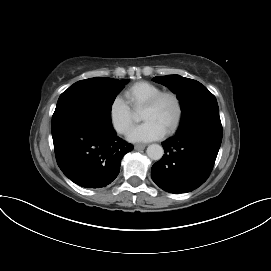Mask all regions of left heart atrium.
I'll return each instance as SVG.
<instances>
[{"label":"left heart atrium","mask_w":271,"mask_h":271,"mask_svg":"<svg viewBox=\"0 0 271 271\" xmlns=\"http://www.w3.org/2000/svg\"><path fill=\"white\" fill-rule=\"evenodd\" d=\"M166 131L155 121L147 120L134 127L128 134L132 142H148L162 138Z\"/></svg>","instance_id":"left-heart-atrium-1"}]
</instances>
